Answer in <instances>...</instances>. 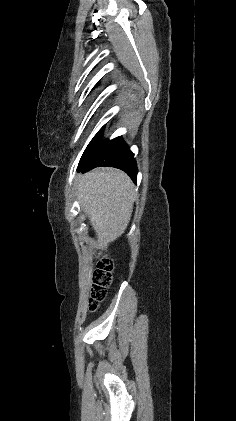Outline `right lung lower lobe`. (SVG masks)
I'll use <instances>...</instances> for the list:
<instances>
[{"mask_svg":"<svg viewBox=\"0 0 236 421\" xmlns=\"http://www.w3.org/2000/svg\"><path fill=\"white\" fill-rule=\"evenodd\" d=\"M103 131L104 127L88 144L80 159L79 171L85 172L98 166H111L125 171L136 182L137 165L134 154L122 137L102 140Z\"/></svg>","mask_w":236,"mask_h":421,"instance_id":"right-lung-lower-lobe-1","label":"right lung lower lobe"}]
</instances>
